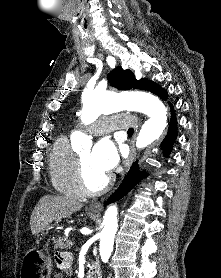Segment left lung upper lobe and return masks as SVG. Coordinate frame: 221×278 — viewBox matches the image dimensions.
Wrapping results in <instances>:
<instances>
[{"label":"left lung upper lobe","mask_w":221,"mask_h":278,"mask_svg":"<svg viewBox=\"0 0 221 278\" xmlns=\"http://www.w3.org/2000/svg\"><path fill=\"white\" fill-rule=\"evenodd\" d=\"M108 82L111 86L119 90L128 89H144L149 90L157 95H159L163 100H166L168 94L160 86L147 79L137 80L135 75L130 70H123L121 67H117L111 71L108 75Z\"/></svg>","instance_id":"1"}]
</instances>
